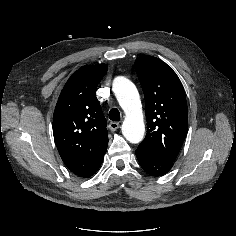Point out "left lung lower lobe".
Here are the masks:
<instances>
[{
    "mask_svg": "<svg viewBox=\"0 0 236 236\" xmlns=\"http://www.w3.org/2000/svg\"><path fill=\"white\" fill-rule=\"evenodd\" d=\"M135 153L141 167L152 176H162L173 167V162L160 158L144 148L138 147Z\"/></svg>",
    "mask_w": 236,
    "mask_h": 236,
    "instance_id": "left-lung-lower-lobe-1",
    "label": "left lung lower lobe"
}]
</instances>
